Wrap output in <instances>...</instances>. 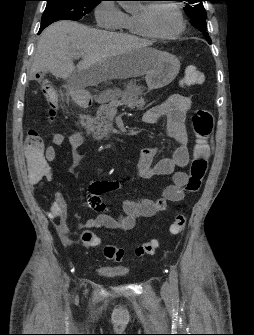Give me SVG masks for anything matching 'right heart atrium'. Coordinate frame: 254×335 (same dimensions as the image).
Listing matches in <instances>:
<instances>
[{"label":"right heart atrium","mask_w":254,"mask_h":335,"mask_svg":"<svg viewBox=\"0 0 254 335\" xmlns=\"http://www.w3.org/2000/svg\"><path fill=\"white\" fill-rule=\"evenodd\" d=\"M95 18L100 27L117 29L123 21L124 12L113 1H101L95 9Z\"/></svg>","instance_id":"1"}]
</instances>
